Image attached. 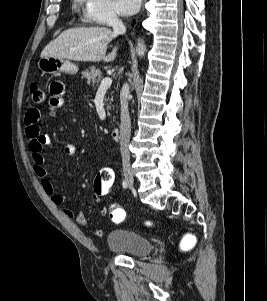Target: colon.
I'll return each mask as SVG.
<instances>
[{"instance_id":"colon-1","label":"colon","mask_w":267,"mask_h":301,"mask_svg":"<svg viewBox=\"0 0 267 301\" xmlns=\"http://www.w3.org/2000/svg\"><path fill=\"white\" fill-rule=\"evenodd\" d=\"M31 100L34 104H40L44 100V92L37 84L30 86ZM114 174L110 167H102L95 176L92 194L104 203L106 215L114 223H122L126 219L125 209L116 202L113 193ZM194 241L188 238L184 247H191Z\"/></svg>"}]
</instances>
